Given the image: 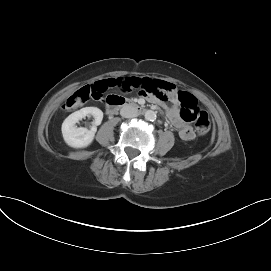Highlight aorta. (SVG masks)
Returning <instances> with one entry per match:
<instances>
[{"label": "aorta", "instance_id": "aorta-1", "mask_svg": "<svg viewBox=\"0 0 271 271\" xmlns=\"http://www.w3.org/2000/svg\"><path fill=\"white\" fill-rule=\"evenodd\" d=\"M144 116H145V119L148 121H154L156 120V117H157L156 112L152 110H147Z\"/></svg>", "mask_w": 271, "mask_h": 271}]
</instances>
